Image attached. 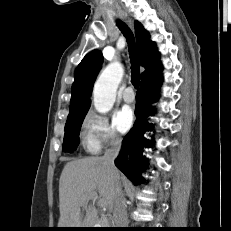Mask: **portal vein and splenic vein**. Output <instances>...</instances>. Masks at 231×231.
Masks as SVG:
<instances>
[{"label": "portal vein and splenic vein", "mask_w": 231, "mask_h": 231, "mask_svg": "<svg viewBox=\"0 0 231 231\" xmlns=\"http://www.w3.org/2000/svg\"><path fill=\"white\" fill-rule=\"evenodd\" d=\"M88 199L93 200L95 202L98 199V196L97 194H92ZM98 204L100 207H103V204L100 200L98 201Z\"/></svg>", "instance_id": "1"}]
</instances>
